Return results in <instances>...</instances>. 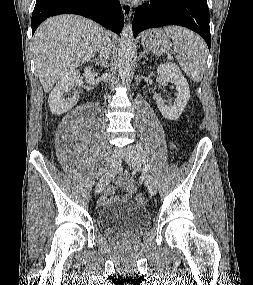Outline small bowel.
<instances>
[{
  "label": "small bowel",
  "mask_w": 253,
  "mask_h": 285,
  "mask_svg": "<svg viewBox=\"0 0 253 285\" xmlns=\"http://www.w3.org/2000/svg\"><path fill=\"white\" fill-rule=\"evenodd\" d=\"M117 184L125 187L126 193L122 196H114V188L108 187L100 198V204L103 206H108L115 202H124L127 201L130 196H132L136 190V185L132 179H130L126 174H122L118 180Z\"/></svg>",
  "instance_id": "obj_1"
}]
</instances>
